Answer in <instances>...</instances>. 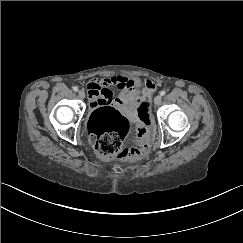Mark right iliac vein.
<instances>
[{"label": "right iliac vein", "instance_id": "obj_1", "mask_svg": "<svg viewBox=\"0 0 243 243\" xmlns=\"http://www.w3.org/2000/svg\"><path fill=\"white\" fill-rule=\"evenodd\" d=\"M78 94L82 99L85 98V92L83 90H80Z\"/></svg>", "mask_w": 243, "mask_h": 243}]
</instances>
